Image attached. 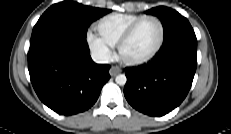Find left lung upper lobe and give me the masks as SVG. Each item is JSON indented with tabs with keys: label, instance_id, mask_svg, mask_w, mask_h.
<instances>
[{
	"label": "left lung upper lobe",
	"instance_id": "1",
	"mask_svg": "<svg viewBox=\"0 0 231 134\" xmlns=\"http://www.w3.org/2000/svg\"><path fill=\"white\" fill-rule=\"evenodd\" d=\"M157 16L163 25V46H169L177 41L196 39L195 33L188 20L176 10L159 6L145 12Z\"/></svg>",
	"mask_w": 231,
	"mask_h": 134
}]
</instances>
